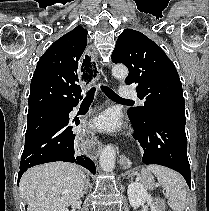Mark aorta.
I'll return each instance as SVG.
<instances>
[{
	"label": "aorta",
	"instance_id": "aorta-1",
	"mask_svg": "<svg viewBox=\"0 0 209 211\" xmlns=\"http://www.w3.org/2000/svg\"><path fill=\"white\" fill-rule=\"evenodd\" d=\"M112 75L117 79H125L128 76V69L122 64L112 68ZM116 151L113 145H107L100 154V166L106 172H112L115 168Z\"/></svg>",
	"mask_w": 209,
	"mask_h": 211
}]
</instances>
